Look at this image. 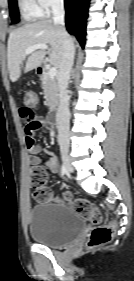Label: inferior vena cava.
I'll use <instances>...</instances> for the list:
<instances>
[{"mask_svg":"<svg viewBox=\"0 0 134 281\" xmlns=\"http://www.w3.org/2000/svg\"><path fill=\"white\" fill-rule=\"evenodd\" d=\"M53 22L61 29L63 53L58 73L59 105L57 110L58 142L61 147L69 146V97L67 94L68 82L75 57L73 40L67 33L65 25V10L63 0H54L52 3Z\"/></svg>","mask_w":134,"mask_h":281,"instance_id":"602c4592","label":"inferior vena cava"}]
</instances>
